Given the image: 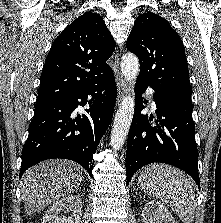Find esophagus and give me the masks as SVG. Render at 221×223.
<instances>
[{
	"mask_svg": "<svg viewBox=\"0 0 221 223\" xmlns=\"http://www.w3.org/2000/svg\"><path fill=\"white\" fill-rule=\"evenodd\" d=\"M115 79H116V86H117V103L122 100L125 91H126V82L123 79V76L119 69V57L118 54H116L114 59V68H113Z\"/></svg>",
	"mask_w": 221,
	"mask_h": 223,
	"instance_id": "esophagus-1",
	"label": "esophagus"
}]
</instances>
